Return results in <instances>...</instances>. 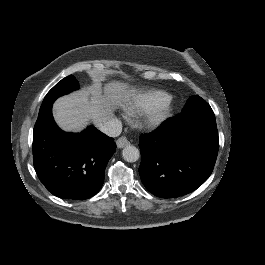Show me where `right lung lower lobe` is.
Wrapping results in <instances>:
<instances>
[{
    "mask_svg": "<svg viewBox=\"0 0 265 265\" xmlns=\"http://www.w3.org/2000/svg\"><path fill=\"white\" fill-rule=\"evenodd\" d=\"M115 150L114 139L93 126L81 133L60 130L52 106L38 115L33 133L34 168L42 184L57 197L84 200L94 196Z\"/></svg>",
    "mask_w": 265,
    "mask_h": 265,
    "instance_id": "98d812e1",
    "label": "right lung lower lobe"
}]
</instances>
